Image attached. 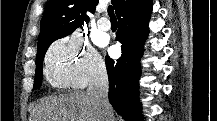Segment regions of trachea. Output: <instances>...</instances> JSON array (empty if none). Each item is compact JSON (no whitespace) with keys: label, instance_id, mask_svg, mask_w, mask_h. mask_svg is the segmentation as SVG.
<instances>
[{"label":"trachea","instance_id":"1","mask_svg":"<svg viewBox=\"0 0 217 121\" xmlns=\"http://www.w3.org/2000/svg\"><path fill=\"white\" fill-rule=\"evenodd\" d=\"M108 14H109V16H110L111 19H116V16L114 14V10H113L112 6L108 7Z\"/></svg>","mask_w":217,"mask_h":121}]
</instances>
